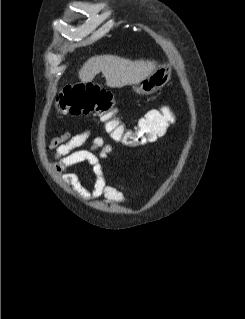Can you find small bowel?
<instances>
[{"instance_id":"1","label":"small bowel","mask_w":245,"mask_h":319,"mask_svg":"<svg viewBox=\"0 0 245 319\" xmlns=\"http://www.w3.org/2000/svg\"><path fill=\"white\" fill-rule=\"evenodd\" d=\"M91 135L92 133L89 130L76 134L67 131L52 139L49 148L55 151L53 167L57 173L62 175L64 182L73 186L77 194L82 198L105 197L108 202H124L126 197L123 188L118 184H108L106 173L101 165V161L112 152V146L107 144L102 136H96L92 139L90 149H82L91 138ZM97 149H100V151L96 154L95 151ZM83 163L92 166L96 177L91 190L81 185L75 173H65L68 168Z\"/></svg>"}]
</instances>
